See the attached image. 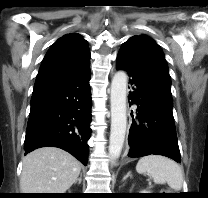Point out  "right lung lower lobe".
<instances>
[{"label":"right lung lower lobe","instance_id":"right-lung-lower-lobe-1","mask_svg":"<svg viewBox=\"0 0 208 198\" xmlns=\"http://www.w3.org/2000/svg\"><path fill=\"white\" fill-rule=\"evenodd\" d=\"M90 67L72 80L33 92L24 142L25 154L58 147L88 161L91 129Z\"/></svg>","mask_w":208,"mask_h":198}]
</instances>
